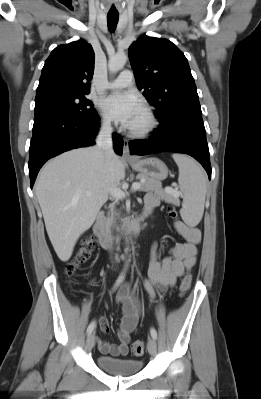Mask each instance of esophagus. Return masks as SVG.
<instances>
[{
  "label": "esophagus",
  "mask_w": 261,
  "mask_h": 399,
  "mask_svg": "<svg viewBox=\"0 0 261 399\" xmlns=\"http://www.w3.org/2000/svg\"><path fill=\"white\" fill-rule=\"evenodd\" d=\"M123 158L126 159H133V156L130 154V150H129V143L127 139H123V154H122Z\"/></svg>",
  "instance_id": "esophagus-1"
}]
</instances>
